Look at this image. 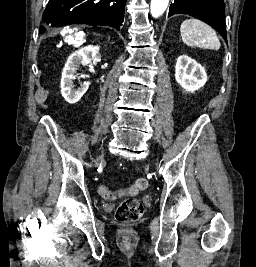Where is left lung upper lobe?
Returning a JSON list of instances; mask_svg holds the SVG:
<instances>
[{
	"label": "left lung upper lobe",
	"mask_w": 256,
	"mask_h": 267,
	"mask_svg": "<svg viewBox=\"0 0 256 267\" xmlns=\"http://www.w3.org/2000/svg\"><path fill=\"white\" fill-rule=\"evenodd\" d=\"M174 14H187L204 21L218 31L227 43L223 0H174L168 17Z\"/></svg>",
	"instance_id": "5c2ea615"
}]
</instances>
